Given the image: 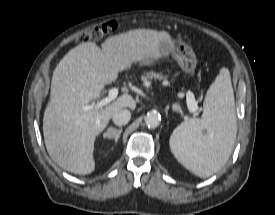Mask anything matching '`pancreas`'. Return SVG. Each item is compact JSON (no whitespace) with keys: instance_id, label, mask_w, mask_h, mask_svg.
I'll return each instance as SVG.
<instances>
[{"instance_id":"pancreas-1","label":"pancreas","mask_w":275,"mask_h":215,"mask_svg":"<svg viewBox=\"0 0 275 215\" xmlns=\"http://www.w3.org/2000/svg\"><path fill=\"white\" fill-rule=\"evenodd\" d=\"M153 78L161 80V79H166L167 76H163L162 74H158L155 72H149L146 75L142 76L141 79L143 80L144 83H147L149 79H153Z\"/></svg>"}]
</instances>
